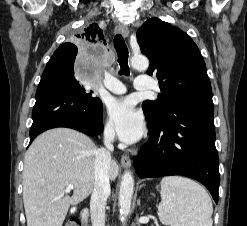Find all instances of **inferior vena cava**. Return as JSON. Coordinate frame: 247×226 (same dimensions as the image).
I'll return each mask as SVG.
<instances>
[{
	"label": "inferior vena cava",
	"mask_w": 247,
	"mask_h": 226,
	"mask_svg": "<svg viewBox=\"0 0 247 226\" xmlns=\"http://www.w3.org/2000/svg\"><path fill=\"white\" fill-rule=\"evenodd\" d=\"M115 132L112 126L104 129L105 148L96 150L94 162V189L90 200V213L92 226H105V207L110 195L109 168L111 152L114 148L112 142Z\"/></svg>",
	"instance_id": "inferior-vena-cava-1"
}]
</instances>
